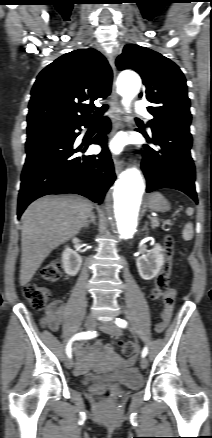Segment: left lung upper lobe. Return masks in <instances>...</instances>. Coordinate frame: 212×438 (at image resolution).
Wrapping results in <instances>:
<instances>
[{
  "label": "left lung upper lobe",
  "instance_id": "obj_1",
  "mask_svg": "<svg viewBox=\"0 0 212 438\" xmlns=\"http://www.w3.org/2000/svg\"><path fill=\"white\" fill-rule=\"evenodd\" d=\"M116 65L119 70L133 69L141 75L146 99L152 103L148 107L154 116L148 122L150 128L155 125L190 126L186 80L174 62L149 48L128 44Z\"/></svg>",
  "mask_w": 212,
  "mask_h": 438
}]
</instances>
